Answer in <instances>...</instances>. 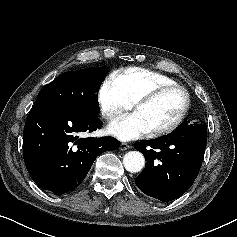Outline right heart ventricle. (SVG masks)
Segmentation results:
<instances>
[{
	"label": "right heart ventricle",
	"mask_w": 237,
	"mask_h": 237,
	"mask_svg": "<svg viewBox=\"0 0 237 237\" xmlns=\"http://www.w3.org/2000/svg\"><path fill=\"white\" fill-rule=\"evenodd\" d=\"M112 77L130 104L158 86L176 84L169 76L145 68H127L115 72Z\"/></svg>",
	"instance_id": "e07e8e85"
}]
</instances>
